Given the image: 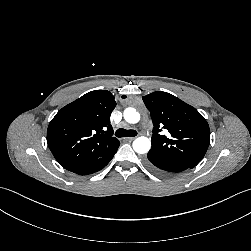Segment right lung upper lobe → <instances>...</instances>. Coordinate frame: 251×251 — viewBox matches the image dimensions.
Segmentation results:
<instances>
[{
  "label": "right lung upper lobe",
  "instance_id": "cb5924a9",
  "mask_svg": "<svg viewBox=\"0 0 251 251\" xmlns=\"http://www.w3.org/2000/svg\"><path fill=\"white\" fill-rule=\"evenodd\" d=\"M116 106L107 90L91 91L63 107L47 130V143L58 163L76 172L95 166L119 145L110 115Z\"/></svg>",
  "mask_w": 251,
  "mask_h": 251
}]
</instances>
